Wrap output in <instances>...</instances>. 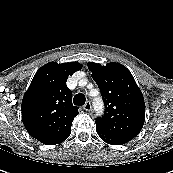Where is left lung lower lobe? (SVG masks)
I'll use <instances>...</instances> for the list:
<instances>
[{"instance_id": "left-lung-lower-lobe-1", "label": "left lung lower lobe", "mask_w": 173, "mask_h": 173, "mask_svg": "<svg viewBox=\"0 0 173 173\" xmlns=\"http://www.w3.org/2000/svg\"><path fill=\"white\" fill-rule=\"evenodd\" d=\"M97 133L99 135V137L106 143L108 144H112V145H121V144H125L127 142H124V141H121V140H118V139H115V138H112L111 136L101 132V131H98L97 130Z\"/></svg>"}]
</instances>
